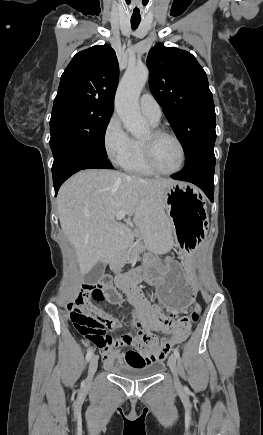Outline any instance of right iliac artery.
<instances>
[{
    "instance_id": "82829eb1",
    "label": "right iliac artery",
    "mask_w": 263,
    "mask_h": 435,
    "mask_svg": "<svg viewBox=\"0 0 263 435\" xmlns=\"http://www.w3.org/2000/svg\"><path fill=\"white\" fill-rule=\"evenodd\" d=\"M93 355V350L90 348L86 354V360L89 361Z\"/></svg>"
}]
</instances>
